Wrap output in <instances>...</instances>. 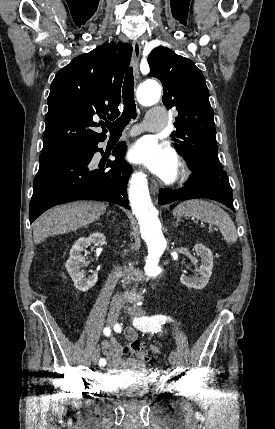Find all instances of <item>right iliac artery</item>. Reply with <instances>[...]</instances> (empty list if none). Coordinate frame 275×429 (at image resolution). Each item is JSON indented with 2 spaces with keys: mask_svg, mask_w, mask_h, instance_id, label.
<instances>
[{
  "mask_svg": "<svg viewBox=\"0 0 275 429\" xmlns=\"http://www.w3.org/2000/svg\"><path fill=\"white\" fill-rule=\"evenodd\" d=\"M103 333H104L105 336H110L111 329L109 327H105L104 330H103ZM105 364H106V360L104 358H101L99 360V366L102 367V366H105Z\"/></svg>",
  "mask_w": 275,
  "mask_h": 429,
  "instance_id": "obj_1",
  "label": "right iliac artery"
}]
</instances>
